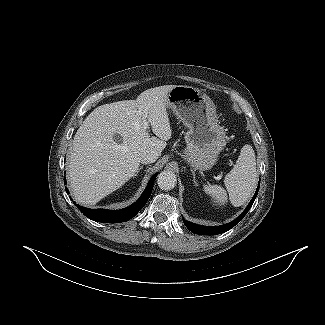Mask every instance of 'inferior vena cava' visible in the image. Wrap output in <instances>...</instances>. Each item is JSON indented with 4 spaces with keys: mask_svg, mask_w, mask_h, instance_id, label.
<instances>
[{
    "mask_svg": "<svg viewBox=\"0 0 325 325\" xmlns=\"http://www.w3.org/2000/svg\"><path fill=\"white\" fill-rule=\"evenodd\" d=\"M159 157V154L154 150H146L140 155V162L142 164L154 163Z\"/></svg>",
    "mask_w": 325,
    "mask_h": 325,
    "instance_id": "1",
    "label": "inferior vena cava"
}]
</instances>
